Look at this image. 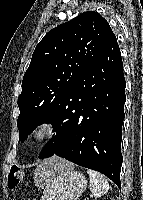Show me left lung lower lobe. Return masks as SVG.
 <instances>
[{"instance_id": "1", "label": "left lung lower lobe", "mask_w": 143, "mask_h": 200, "mask_svg": "<svg viewBox=\"0 0 143 200\" xmlns=\"http://www.w3.org/2000/svg\"><path fill=\"white\" fill-rule=\"evenodd\" d=\"M125 86L121 53L114 37L73 86L66 99L67 123L58 128L51 122L57 133L39 158L64 157L103 173L120 187Z\"/></svg>"}]
</instances>
